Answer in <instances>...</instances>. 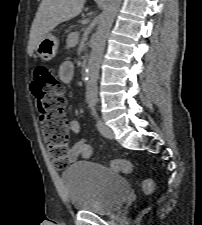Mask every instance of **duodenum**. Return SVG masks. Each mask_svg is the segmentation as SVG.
<instances>
[{"label": "duodenum", "instance_id": "410a0bca", "mask_svg": "<svg viewBox=\"0 0 202 225\" xmlns=\"http://www.w3.org/2000/svg\"><path fill=\"white\" fill-rule=\"evenodd\" d=\"M81 70H82L81 75H82L83 78H85V76L87 75V70H88V59L87 58H83Z\"/></svg>", "mask_w": 202, "mask_h": 225}]
</instances>
